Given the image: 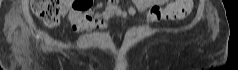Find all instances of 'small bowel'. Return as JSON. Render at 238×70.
Masks as SVG:
<instances>
[{
    "instance_id": "c3829d8e",
    "label": "small bowel",
    "mask_w": 238,
    "mask_h": 70,
    "mask_svg": "<svg viewBox=\"0 0 238 70\" xmlns=\"http://www.w3.org/2000/svg\"><path fill=\"white\" fill-rule=\"evenodd\" d=\"M176 4L175 1L166 0H133L132 5L124 8L116 2L110 1L101 11L102 3L92 7L89 0H77L73 3L70 0L64 1L68 18L76 32L101 30L114 17L126 18L147 10V20L149 22L174 19V16L169 14V10Z\"/></svg>"
}]
</instances>
